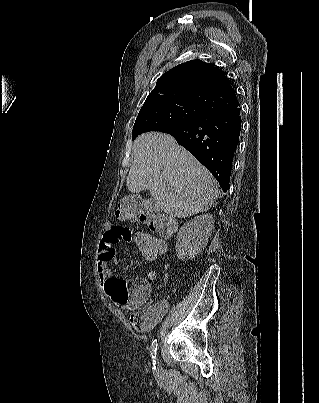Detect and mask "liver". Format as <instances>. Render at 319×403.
<instances>
[{
    "mask_svg": "<svg viewBox=\"0 0 319 403\" xmlns=\"http://www.w3.org/2000/svg\"><path fill=\"white\" fill-rule=\"evenodd\" d=\"M133 155L126 180L128 190H149L170 216L185 218L205 212L219 196L212 174L169 134H141L134 141Z\"/></svg>",
    "mask_w": 319,
    "mask_h": 403,
    "instance_id": "1",
    "label": "liver"
}]
</instances>
